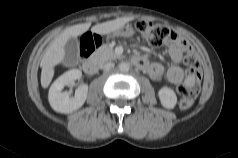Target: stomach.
<instances>
[{
	"mask_svg": "<svg viewBox=\"0 0 238 158\" xmlns=\"http://www.w3.org/2000/svg\"><path fill=\"white\" fill-rule=\"evenodd\" d=\"M134 33H135L134 29L131 26H125V27H122V28L118 29L115 32V36H118V37H130V36H133Z\"/></svg>",
	"mask_w": 238,
	"mask_h": 158,
	"instance_id": "0dacf381",
	"label": "stomach"
}]
</instances>
